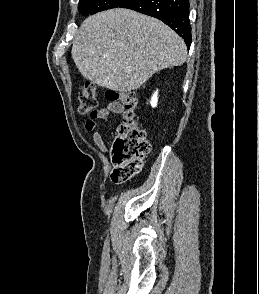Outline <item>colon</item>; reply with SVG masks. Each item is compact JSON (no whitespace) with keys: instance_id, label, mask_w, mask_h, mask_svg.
<instances>
[{"instance_id":"1","label":"colon","mask_w":259,"mask_h":294,"mask_svg":"<svg viewBox=\"0 0 259 294\" xmlns=\"http://www.w3.org/2000/svg\"><path fill=\"white\" fill-rule=\"evenodd\" d=\"M106 97L110 101H119L124 108L123 120L117 129L112 149L114 168L111 178L115 182H125L141 171L151 145L136 119V94L131 91H108ZM97 105L95 86L87 82L82 86L78 96V111L81 114L92 115L96 112Z\"/></svg>"}]
</instances>
